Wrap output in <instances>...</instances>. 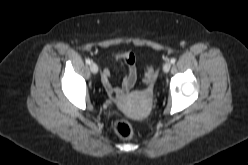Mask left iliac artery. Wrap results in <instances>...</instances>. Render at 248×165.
I'll return each mask as SVG.
<instances>
[{
    "label": "left iliac artery",
    "instance_id": "1",
    "mask_svg": "<svg viewBox=\"0 0 248 165\" xmlns=\"http://www.w3.org/2000/svg\"><path fill=\"white\" fill-rule=\"evenodd\" d=\"M176 62V59L175 58H172L171 59V63L174 64Z\"/></svg>",
    "mask_w": 248,
    "mask_h": 165
}]
</instances>
